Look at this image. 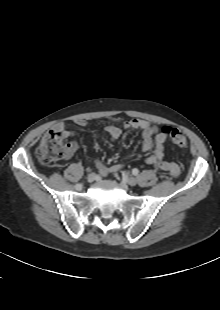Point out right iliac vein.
Returning <instances> with one entry per match:
<instances>
[{"label": "right iliac vein", "mask_w": 220, "mask_h": 310, "mask_svg": "<svg viewBox=\"0 0 220 310\" xmlns=\"http://www.w3.org/2000/svg\"><path fill=\"white\" fill-rule=\"evenodd\" d=\"M95 178H96V176L93 173L89 174L87 177V181L92 183L95 180Z\"/></svg>", "instance_id": "obj_1"}]
</instances>
